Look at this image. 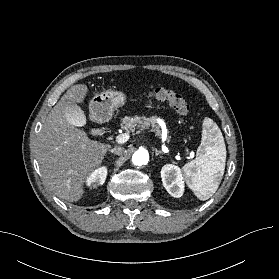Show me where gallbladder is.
I'll list each match as a JSON object with an SVG mask.
<instances>
[{"label":"gallbladder","instance_id":"gallbladder-1","mask_svg":"<svg viewBox=\"0 0 279 279\" xmlns=\"http://www.w3.org/2000/svg\"><path fill=\"white\" fill-rule=\"evenodd\" d=\"M68 120L76 126H83L85 124V117L79 108L73 102H67L65 106Z\"/></svg>","mask_w":279,"mask_h":279}]
</instances>
